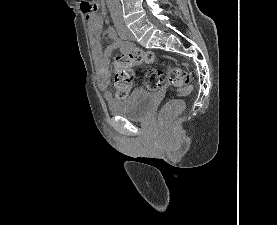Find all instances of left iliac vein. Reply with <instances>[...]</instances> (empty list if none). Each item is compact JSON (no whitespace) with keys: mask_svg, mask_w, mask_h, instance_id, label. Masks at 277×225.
Wrapping results in <instances>:
<instances>
[{"mask_svg":"<svg viewBox=\"0 0 277 225\" xmlns=\"http://www.w3.org/2000/svg\"><path fill=\"white\" fill-rule=\"evenodd\" d=\"M124 33H125L127 39L135 40V36L127 27H124Z\"/></svg>","mask_w":277,"mask_h":225,"instance_id":"4c4485c4","label":"left iliac vein"}]
</instances>
